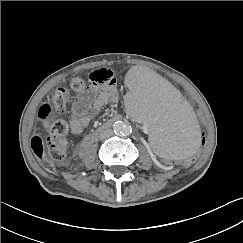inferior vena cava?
Returning <instances> with one entry per match:
<instances>
[{
  "label": "inferior vena cava",
  "instance_id": "inferior-vena-cava-1",
  "mask_svg": "<svg viewBox=\"0 0 243 243\" xmlns=\"http://www.w3.org/2000/svg\"><path fill=\"white\" fill-rule=\"evenodd\" d=\"M113 135V131L111 129H107L101 132L100 138L107 139Z\"/></svg>",
  "mask_w": 243,
  "mask_h": 243
}]
</instances>
